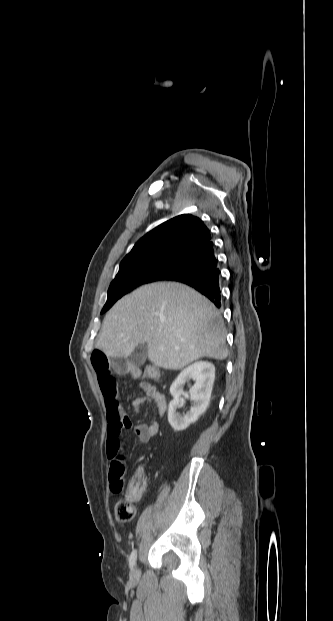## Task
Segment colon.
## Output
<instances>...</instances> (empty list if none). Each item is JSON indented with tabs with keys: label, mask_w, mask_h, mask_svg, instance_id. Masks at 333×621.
<instances>
[{
	"label": "colon",
	"mask_w": 333,
	"mask_h": 621,
	"mask_svg": "<svg viewBox=\"0 0 333 621\" xmlns=\"http://www.w3.org/2000/svg\"><path fill=\"white\" fill-rule=\"evenodd\" d=\"M135 374L137 375L138 372ZM144 376L150 380L157 381L160 378L159 369L154 365H147L144 368ZM109 481L112 492L120 494V498L115 505L116 519L120 522L131 521L135 516L133 504L140 499L146 488L144 471L134 473V475L126 481L125 463L116 462L110 467Z\"/></svg>",
	"instance_id": "5ec220e1"
}]
</instances>
